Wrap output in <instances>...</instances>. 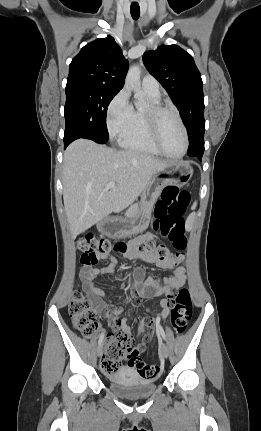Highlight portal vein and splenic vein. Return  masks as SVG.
Listing matches in <instances>:
<instances>
[{
  "label": "portal vein and splenic vein",
  "mask_w": 261,
  "mask_h": 431,
  "mask_svg": "<svg viewBox=\"0 0 261 431\" xmlns=\"http://www.w3.org/2000/svg\"><path fill=\"white\" fill-rule=\"evenodd\" d=\"M113 187H115V183L114 182H110L106 186L107 189H110V188H113Z\"/></svg>",
  "instance_id": "1"
}]
</instances>
